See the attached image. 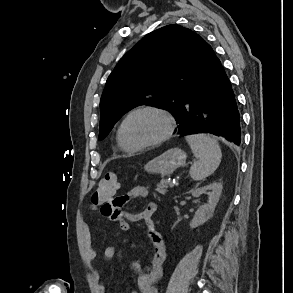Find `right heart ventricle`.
<instances>
[{
	"mask_svg": "<svg viewBox=\"0 0 293 293\" xmlns=\"http://www.w3.org/2000/svg\"><path fill=\"white\" fill-rule=\"evenodd\" d=\"M116 141H117V144L119 146V148L125 152H134L128 148L125 147V145L123 144L122 140H121V137H120V131H119V128L116 132Z\"/></svg>",
	"mask_w": 293,
	"mask_h": 293,
	"instance_id": "1",
	"label": "right heart ventricle"
}]
</instances>
